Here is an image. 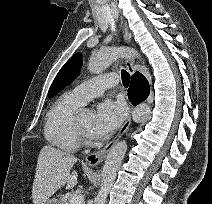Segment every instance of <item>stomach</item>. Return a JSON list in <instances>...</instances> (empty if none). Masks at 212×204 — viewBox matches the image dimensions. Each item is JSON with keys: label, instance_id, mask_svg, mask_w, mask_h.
<instances>
[{"label": "stomach", "instance_id": "obj_1", "mask_svg": "<svg viewBox=\"0 0 212 204\" xmlns=\"http://www.w3.org/2000/svg\"><path fill=\"white\" fill-rule=\"evenodd\" d=\"M44 204H60V202L56 199H48Z\"/></svg>", "mask_w": 212, "mask_h": 204}]
</instances>
